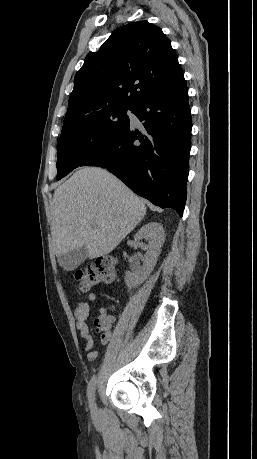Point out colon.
<instances>
[{"mask_svg": "<svg viewBox=\"0 0 257 459\" xmlns=\"http://www.w3.org/2000/svg\"><path fill=\"white\" fill-rule=\"evenodd\" d=\"M116 260L112 256L98 258L86 268L75 274L82 290H88L97 284L106 283L115 277Z\"/></svg>", "mask_w": 257, "mask_h": 459, "instance_id": "5ec220e1", "label": "colon"}]
</instances>
